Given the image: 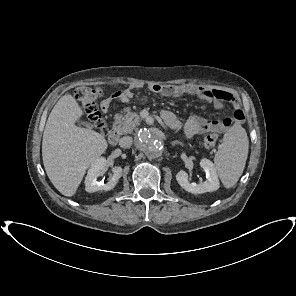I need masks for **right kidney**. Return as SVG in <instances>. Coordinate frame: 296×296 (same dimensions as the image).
I'll use <instances>...</instances> for the list:
<instances>
[{"instance_id":"obj_1","label":"right kidney","mask_w":296,"mask_h":296,"mask_svg":"<svg viewBox=\"0 0 296 296\" xmlns=\"http://www.w3.org/2000/svg\"><path fill=\"white\" fill-rule=\"evenodd\" d=\"M107 161L104 157L97 158L90 166L85 178V190L87 192L109 191L115 187L118 180L122 176V168L120 166L113 167V176L107 183L98 182L97 178L102 174V170L106 166Z\"/></svg>"}]
</instances>
